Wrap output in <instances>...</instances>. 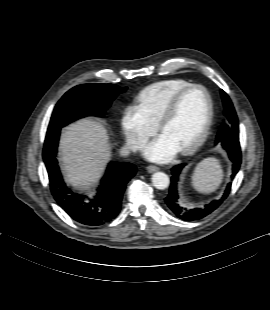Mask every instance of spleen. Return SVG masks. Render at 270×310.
<instances>
[{
	"label": "spleen",
	"mask_w": 270,
	"mask_h": 310,
	"mask_svg": "<svg viewBox=\"0 0 270 310\" xmlns=\"http://www.w3.org/2000/svg\"><path fill=\"white\" fill-rule=\"evenodd\" d=\"M223 169L217 158L209 157L201 161L192 175V186L202 194L215 192L223 180Z\"/></svg>",
	"instance_id": "obj_1"
}]
</instances>
